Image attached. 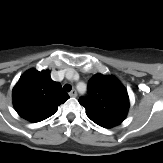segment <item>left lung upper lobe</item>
Segmentation results:
<instances>
[{
    "instance_id": "1",
    "label": "left lung upper lobe",
    "mask_w": 163,
    "mask_h": 163,
    "mask_svg": "<svg viewBox=\"0 0 163 163\" xmlns=\"http://www.w3.org/2000/svg\"><path fill=\"white\" fill-rule=\"evenodd\" d=\"M88 117L105 128L119 125L129 109L125 87L113 76L95 74L89 80L88 96L79 99Z\"/></svg>"
}]
</instances>
